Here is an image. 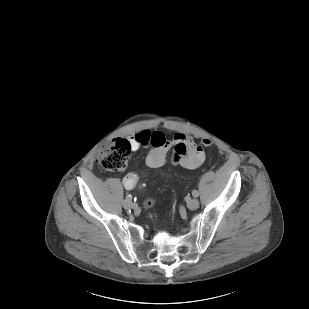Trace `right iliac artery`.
<instances>
[{
	"label": "right iliac artery",
	"mask_w": 309,
	"mask_h": 309,
	"mask_svg": "<svg viewBox=\"0 0 309 309\" xmlns=\"http://www.w3.org/2000/svg\"><path fill=\"white\" fill-rule=\"evenodd\" d=\"M126 198L127 200H132V195H127Z\"/></svg>",
	"instance_id": "1"
}]
</instances>
